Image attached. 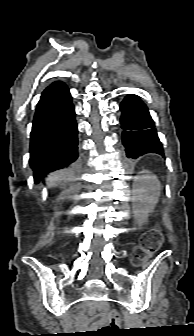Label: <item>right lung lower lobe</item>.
<instances>
[{"instance_id":"obj_1","label":"right lung lower lobe","mask_w":194,"mask_h":336,"mask_svg":"<svg viewBox=\"0 0 194 336\" xmlns=\"http://www.w3.org/2000/svg\"><path fill=\"white\" fill-rule=\"evenodd\" d=\"M77 132L69 89L62 82H54L43 91L33 120L29 163L35 183L47 173L76 162Z\"/></svg>"}]
</instances>
